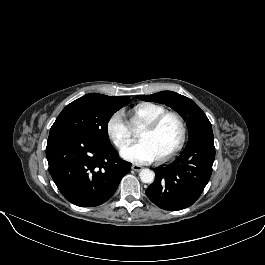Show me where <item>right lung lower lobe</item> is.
I'll return each instance as SVG.
<instances>
[{"label":"right lung lower lobe","instance_id":"1","mask_svg":"<svg viewBox=\"0 0 265 265\" xmlns=\"http://www.w3.org/2000/svg\"><path fill=\"white\" fill-rule=\"evenodd\" d=\"M46 156L59 191L69 202L82 207L106 202L131 169L110 143L76 131L49 134Z\"/></svg>","mask_w":265,"mask_h":265}]
</instances>
